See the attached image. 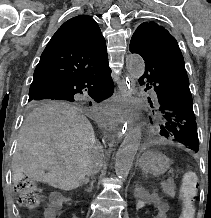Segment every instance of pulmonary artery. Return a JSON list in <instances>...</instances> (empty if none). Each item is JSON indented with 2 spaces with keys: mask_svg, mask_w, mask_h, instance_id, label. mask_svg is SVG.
I'll use <instances>...</instances> for the list:
<instances>
[{
  "mask_svg": "<svg viewBox=\"0 0 211 218\" xmlns=\"http://www.w3.org/2000/svg\"><path fill=\"white\" fill-rule=\"evenodd\" d=\"M148 90L150 91V94H151V95H154V94H155V91L153 90V87H152V86H149V87H148Z\"/></svg>",
  "mask_w": 211,
  "mask_h": 218,
  "instance_id": "1",
  "label": "pulmonary artery"
}]
</instances>
